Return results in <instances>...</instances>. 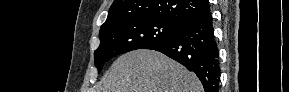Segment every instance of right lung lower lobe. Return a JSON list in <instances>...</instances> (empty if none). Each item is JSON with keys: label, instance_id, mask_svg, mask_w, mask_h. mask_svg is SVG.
<instances>
[{"label": "right lung lower lobe", "instance_id": "1", "mask_svg": "<svg viewBox=\"0 0 289 92\" xmlns=\"http://www.w3.org/2000/svg\"><path fill=\"white\" fill-rule=\"evenodd\" d=\"M145 49L159 51L195 72L205 92H218L219 51L210 10L184 21L174 36Z\"/></svg>", "mask_w": 289, "mask_h": 92}]
</instances>
